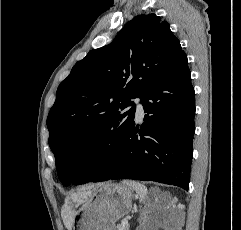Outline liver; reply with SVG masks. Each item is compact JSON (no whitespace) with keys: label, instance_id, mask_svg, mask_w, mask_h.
Here are the masks:
<instances>
[{"label":"liver","instance_id":"liver-1","mask_svg":"<svg viewBox=\"0 0 241 230\" xmlns=\"http://www.w3.org/2000/svg\"><path fill=\"white\" fill-rule=\"evenodd\" d=\"M74 199L77 200L78 202H80V198H78V196H76ZM75 213L76 212L72 209H67V210L62 211L63 222H64L65 227L68 230H71L73 227Z\"/></svg>","mask_w":241,"mask_h":230}]
</instances>
